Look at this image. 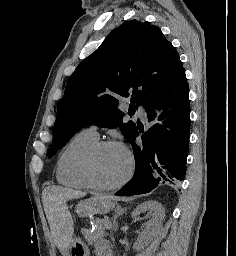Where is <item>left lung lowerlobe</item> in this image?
I'll return each mask as SVG.
<instances>
[{"mask_svg":"<svg viewBox=\"0 0 236 256\" xmlns=\"http://www.w3.org/2000/svg\"><path fill=\"white\" fill-rule=\"evenodd\" d=\"M189 88L184 69L155 92L143 105L148 122L153 125L141 136L142 144L132 135L135 173L115 195L131 196L149 193L162 184H174L185 177L189 149Z\"/></svg>","mask_w":236,"mask_h":256,"instance_id":"obj_1","label":"left lung lower lobe"}]
</instances>
